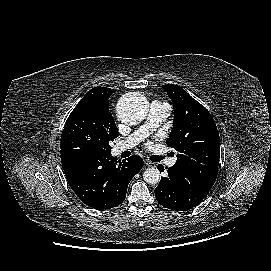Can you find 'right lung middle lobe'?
<instances>
[{
  "instance_id": "1",
  "label": "right lung middle lobe",
  "mask_w": 271,
  "mask_h": 271,
  "mask_svg": "<svg viewBox=\"0 0 271 271\" xmlns=\"http://www.w3.org/2000/svg\"><path fill=\"white\" fill-rule=\"evenodd\" d=\"M115 90L95 87L88 91L69 115L60 148L85 153H111L110 141L118 137V130L109 111V97Z\"/></svg>"
}]
</instances>
